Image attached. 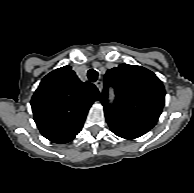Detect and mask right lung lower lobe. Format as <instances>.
Returning <instances> with one entry per match:
<instances>
[{
    "label": "right lung lower lobe",
    "instance_id": "right-lung-lower-lobe-1",
    "mask_svg": "<svg viewBox=\"0 0 194 193\" xmlns=\"http://www.w3.org/2000/svg\"><path fill=\"white\" fill-rule=\"evenodd\" d=\"M81 130V129H80ZM80 130H78L75 134H73L72 136L70 137H67V138H64V139H61L59 141H56L55 143H67L69 141H71L79 132Z\"/></svg>",
    "mask_w": 194,
    "mask_h": 193
}]
</instances>
